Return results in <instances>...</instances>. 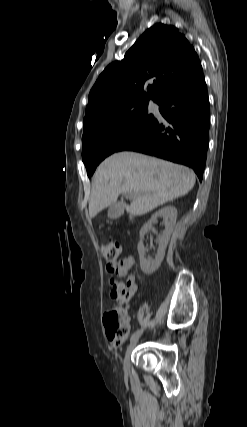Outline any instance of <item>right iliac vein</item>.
Instances as JSON below:
<instances>
[{"instance_id": "1", "label": "right iliac vein", "mask_w": 247, "mask_h": 427, "mask_svg": "<svg viewBox=\"0 0 247 427\" xmlns=\"http://www.w3.org/2000/svg\"><path fill=\"white\" fill-rule=\"evenodd\" d=\"M139 338H140V335L137 336L136 338H134L133 340H131V342H130L127 350H126L125 357H124V362H123V367H124L125 371H127L129 369V366H130V356H131V353H132L133 349L137 345V343L139 341Z\"/></svg>"}]
</instances>
